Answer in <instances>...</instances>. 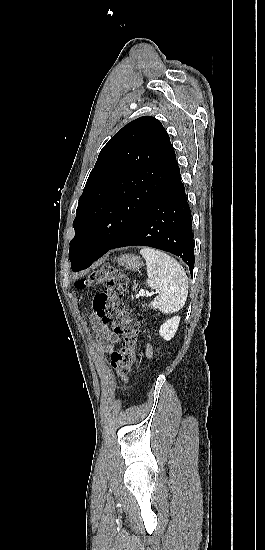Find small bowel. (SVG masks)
I'll use <instances>...</instances> for the list:
<instances>
[{
	"label": "small bowel",
	"mask_w": 265,
	"mask_h": 550,
	"mask_svg": "<svg viewBox=\"0 0 265 550\" xmlns=\"http://www.w3.org/2000/svg\"><path fill=\"white\" fill-rule=\"evenodd\" d=\"M92 323L97 332L98 349L104 357H110L115 351L116 344L119 342V336L110 331L98 316L92 317ZM146 357H151L152 350L149 346L145 348Z\"/></svg>",
	"instance_id": "c3829d8e"
}]
</instances>
